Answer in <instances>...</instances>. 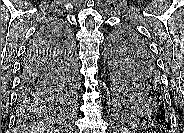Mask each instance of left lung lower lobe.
Listing matches in <instances>:
<instances>
[{
    "label": "left lung lower lobe",
    "mask_w": 184,
    "mask_h": 133,
    "mask_svg": "<svg viewBox=\"0 0 184 133\" xmlns=\"http://www.w3.org/2000/svg\"><path fill=\"white\" fill-rule=\"evenodd\" d=\"M149 94L152 97H154V107L159 108V113L152 116V120L154 124H158L162 127L169 128L170 118H169V114L167 113L166 109H164V107L166 106V99H165L163 85L161 83V78H159L157 84L154 85L153 88L150 89ZM123 118L124 120L128 122L132 121L131 118H129L128 116H123Z\"/></svg>",
    "instance_id": "1"
}]
</instances>
